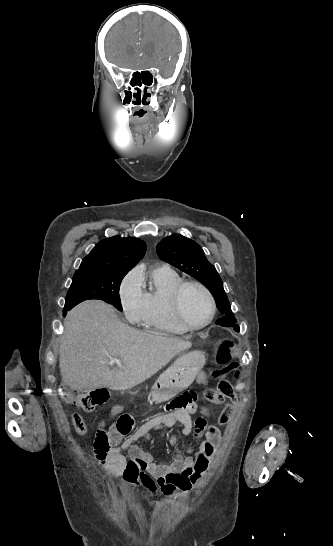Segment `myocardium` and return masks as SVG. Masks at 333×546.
<instances>
[{
	"instance_id": "myocardium-1",
	"label": "myocardium",
	"mask_w": 333,
	"mask_h": 546,
	"mask_svg": "<svg viewBox=\"0 0 333 546\" xmlns=\"http://www.w3.org/2000/svg\"><path fill=\"white\" fill-rule=\"evenodd\" d=\"M188 286H195L199 288L200 290H202L207 296L209 301L210 315L208 319L200 325L190 324L189 322H187V320L185 319L183 315L182 306H181V297H182L184 289ZM170 308L177 323L186 331H197V330L206 328L213 322L217 312L216 301L212 292L206 285H204L203 283L197 280H182L174 287L170 296Z\"/></svg>"
}]
</instances>
